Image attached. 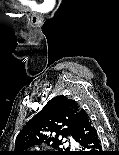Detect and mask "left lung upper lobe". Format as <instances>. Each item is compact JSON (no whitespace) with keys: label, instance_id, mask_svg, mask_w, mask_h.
Segmentation results:
<instances>
[{"label":"left lung upper lobe","instance_id":"1","mask_svg":"<svg viewBox=\"0 0 119 155\" xmlns=\"http://www.w3.org/2000/svg\"><path fill=\"white\" fill-rule=\"evenodd\" d=\"M79 107L66 96L52 98L17 135L13 155H75L61 149L59 136H73L78 118ZM48 144L55 151H30L36 146Z\"/></svg>","mask_w":119,"mask_h":155}]
</instances>
